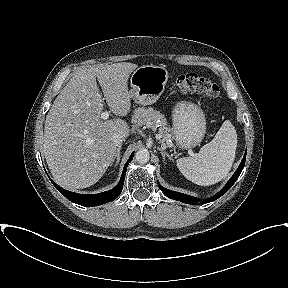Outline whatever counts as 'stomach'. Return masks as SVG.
<instances>
[{
	"mask_svg": "<svg viewBox=\"0 0 288 288\" xmlns=\"http://www.w3.org/2000/svg\"><path fill=\"white\" fill-rule=\"evenodd\" d=\"M169 74L165 66L143 65L131 75V98L146 106L155 103L162 95ZM172 135L176 145L189 149L198 145L206 133L205 114L196 104L180 101L172 110Z\"/></svg>",
	"mask_w": 288,
	"mask_h": 288,
	"instance_id": "1",
	"label": "stomach"
}]
</instances>
